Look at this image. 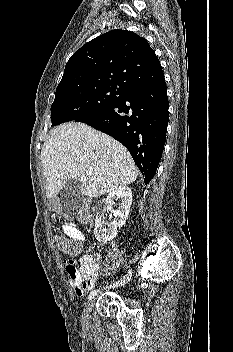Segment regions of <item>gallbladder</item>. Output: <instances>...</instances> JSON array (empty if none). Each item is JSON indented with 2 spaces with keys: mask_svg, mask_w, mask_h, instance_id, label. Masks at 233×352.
Here are the masks:
<instances>
[{
  "mask_svg": "<svg viewBox=\"0 0 233 352\" xmlns=\"http://www.w3.org/2000/svg\"><path fill=\"white\" fill-rule=\"evenodd\" d=\"M82 200L80 183L78 179L66 181L60 192L61 208L68 214H72L79 209Z\"/></svg>",
  "mask_w": 233,
  "mask_h": 352,
  "instance_id": "obj_1",
  "label": "gallbladder"
}]
</instances>
